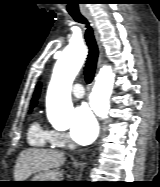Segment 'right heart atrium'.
<instances>
[{
	"instance_id": "right-heart-atrium-1",
	"label": "right heart atrium",
	"mask_w": 160,
	"mask_h": 187,
	"mask_svg": "<svg viewBox=\"0 0 160 187\" xmlns=\"http://www.w3.org/2000/svg\"><path fill=\"white\" fill-rule=\"evenodd\" d=\"M49 134L50 142L53 146L65 148L71 145L67 134L55 130L49 131Z\"/></svg>"
}]
</instances>
